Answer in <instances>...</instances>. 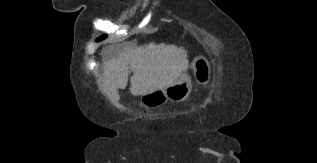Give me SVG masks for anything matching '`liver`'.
<instances>
[{
	"label": "liver",
	"mask_w": 317,
	"mask_h": 163,
	"mask_svg": "<svg viewBox=\"0 0 317 163\" xmlns=\"http://www.w3.org/2000/svg\"><path fill=\"white\" fill-rule=\"evenodd\" d=\"M187 68V52L182 47L150 43L128 48L104 62L100 90L117 105V89L126 88L129 69L133 72L130 92L141 96L175 83Z\"/></svg>",
	"instance_id": "liver-1"
}]
</instances>
